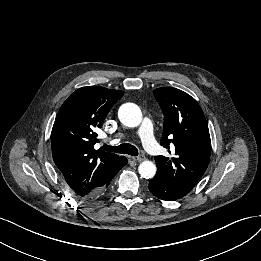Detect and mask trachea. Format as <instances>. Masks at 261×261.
Instances as JSON below:
<instances>
[{
	"label": "trachea",
	"mask_w": 261,
	"mask_h": 261,
	"mask_svg": "<svg viewBox=\"0 0 261 261\" xmlns=\"http://www.w3.org/2000/svg\"><path fill=\"white\" fill-rule=\"evenodd\" d=\"M103 150L120 153V154H129L131 156H137L138 155V149L129 143L121 144L117 147L104 145Z\"/></svg>",
	"instance_id": "3493384b"
}]
</instances>
